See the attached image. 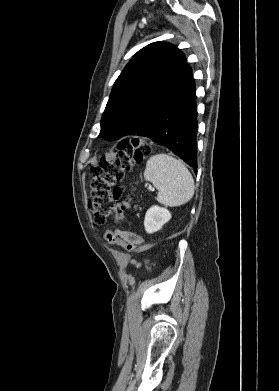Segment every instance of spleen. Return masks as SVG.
Returning a JSON list of instances; mask_svg holds the SVG:
<instances>
[{"instance_id": "1", "label": "spleen", "mask_w": 279, "mask_h": 391, "mask_svg": "<svg viewBox=\"0 0 279 391\" xmlns=\"http://www.w3.org/2000/svg\"><path fill=\"white\" fill-rule=\"evenodd\" d=\"M144 178L157 189V201L170 207L187 203L194 195V180L181 160L156 154L146 163Z\"/></svg>"}]
</instances>
